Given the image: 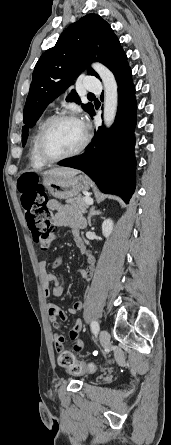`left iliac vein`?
<instances>
[{
    "mask_svg": "<svg viewBox=\"0 0 171 445\" xmlns=\"http://www.w3.org/2000/svg\"><path fill=\"white\" fill-rule=\"evenodd\" d=\"M100 344L102 346H107L110 342V335L106 330H101L99 334Z\"/></svg>",
    "mask_w": 171,
    "mask_h": 445,
    "instance_id": "1",
    "label": "left iliac vein"
}]
</instances>
